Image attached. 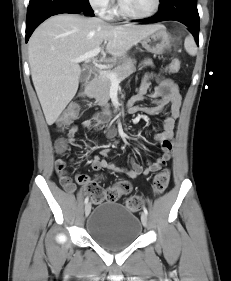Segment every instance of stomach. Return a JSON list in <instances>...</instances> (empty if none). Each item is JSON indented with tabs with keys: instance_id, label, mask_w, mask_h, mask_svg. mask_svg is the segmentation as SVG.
I'll use <instances>...</instances> for the list:
<instances>
[{
	"instance_id": "obj_1",
	"label": "stomach",
	"mask_w": 231,
	"mask_h": 281,
	"mask_svg": "<svg viewBox=\"0 0 231 281\" xmlns=\"http://www.w3.org/2000/svg\"><path fill=\"white\" fill-rule=\"evenodd\" d=\"M172 38L165 27L159 28L141 40L145 50L155 54H162L171 47ZM123 59L119 60V64Z\"/></svg>"
}]
</instances>
